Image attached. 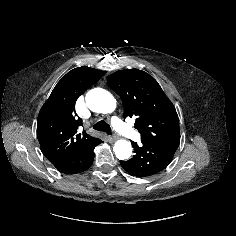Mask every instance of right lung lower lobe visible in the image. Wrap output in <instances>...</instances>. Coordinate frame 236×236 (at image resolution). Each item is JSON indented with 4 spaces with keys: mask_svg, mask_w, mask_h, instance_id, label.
Listing matches in <instances>:
<instances>
[{
    "mask_svg": "<svg viewBox=\"0 0 236 236\" xmlns=\"http://www.w3.org/2000/svg\"><path fill=\"white\" fill-rule=\"evenodd\" d=\"M100 143H102V141L98 140L94 144L80 150L79 152L54 161L52 164L58 171L64 174L71 175L83 172L91 166L94 159V148Z\"/></svg>",
    "mask_w": 236,
    "mask_h": 236,
    "instance_id": "98d812e1",
    "label": "right lung lower lobe"
}]
</instances>
